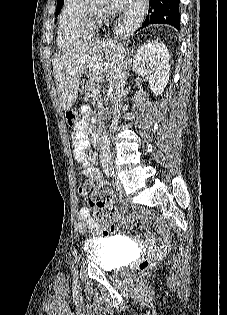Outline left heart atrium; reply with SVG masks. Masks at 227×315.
I'll return each instance as SVG.
<instances>
[{
	"label": "left heart atrium",
	"mask_w": 227,
	"mask_h": 315,
	"mask_svg": "<svg viewBox=\"0 0 227 315\" xmlns=\"http://www.w3.org/2000/svg\"><path fill=\"white\" fill-rule=\"evenodd\" d=\"M127 4V0H109L105 8V12L108 14H113L121 9H123Z\"/></svg>",
	"instance_id": "1"
}]
</instances>
